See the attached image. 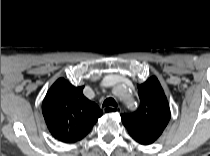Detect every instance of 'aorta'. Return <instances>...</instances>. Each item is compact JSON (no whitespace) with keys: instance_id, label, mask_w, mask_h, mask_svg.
I'll use <instances>...</instances> for the list:
<instances>
[{"instance_id":"obj_1","label":"aorta","mask_w":210,"mask_h":156,"mask_svg":"<svg viewBox=\"0 0 210 156\" xmlns=\"http://www.w3.org/2000/svg\"><path fill=\"white\" fill-rule=\"evenodd\" d=\"M127 87L123 84H119L115 88V93L119 98H123L127 93Z\"/></svg>"}]
</instances>
